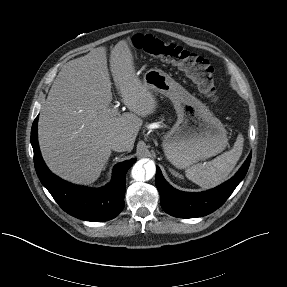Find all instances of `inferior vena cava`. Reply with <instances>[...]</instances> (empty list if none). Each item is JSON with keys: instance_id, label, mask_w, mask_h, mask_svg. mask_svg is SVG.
<instances>
[{"instance_id": "1", "label": "inferior vena cava", "mask_w": 287, "mask_h": 287, "mask_svg": "<svg viewBox=\"0 0 287 287\" xmlns=\"http://www.w3.org/2000/svg\"><path fill=\"white\" fill-rule=\"evenodd\" d=\"M110 148L117 152H123L127 150V143L123 138L115 137L110 140Z\"/></svg>"}]
</instances>
